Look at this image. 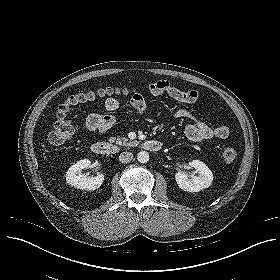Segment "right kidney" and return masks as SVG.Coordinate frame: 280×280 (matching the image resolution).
<instances>
[{
    "label": "right kidney",
    "instance_id": "obj_1",
    "mask_svg": "<svg viewBox=\"0 0 280 280\" xmlns=\"http://www.w3.org/2000/svg\"><path fill=\"white\" fill-rule=\"evenodd\" d=\"M90 165L91 161L89 159H83L74 163L66 172L67 183L82 190L98 189L104 181V175L98 174L95 177H89L82 173V170L90 167Z\"/></svg>",
    "mask_w": 280,
    "mask_h": 280
}]
</instances>
